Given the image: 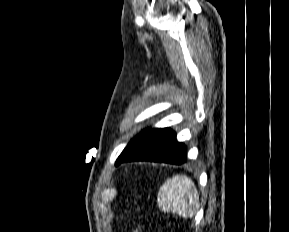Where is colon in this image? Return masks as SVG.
<instances>
[{
    "label": "colon",
    "mask_w": 289,
    "mask_h": 232,
    "mask_svg": "<svg viewBox=\"0 0 289 232\" xmlns=\"http://www.w3.org/2000/svg\"><path fill=\"white\" fill-rule=\"evenodd\" d=\"M133 232H140V230L137 229V228H135V229L133 230Z\"/></svg>",
    "instance_id": "5ec220e1"
}]
</instances>
